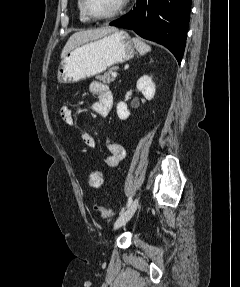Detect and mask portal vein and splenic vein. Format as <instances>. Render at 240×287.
<instances>
[{"instance_id":"18ae733b","label":"portal vein and splenic vein","mask_w":240,"mask_h":287,"mask_svg":"<svg viewBox=\"0 0 240 287\" xmlns=\"http://www.w3.org/2000/svg\"><path fill=\"white\" fill-rule=\"evenodd\" d=\"M116 75H117L116 72H114V73H113V76L115 77Z\"/></svg>"}]
</instances>
